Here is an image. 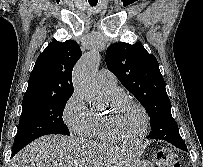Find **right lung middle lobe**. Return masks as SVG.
<instances>
[{"label":"right lung middle lobe","mask_w":203,"mask_h":167,"mask_svg":"<svg viewBox=\"0 0 203 167\" xmlns=\"http://www.w3.org/2000/svg\"><path fill=\"white\" fill-rule=\"evenodd\" d=\"M70 97H49L23 101L12 155L41 136L48 134L70 135L62 118L65 104Z\"/></svg>","instance_id":"right-lung-middle-lobe-1"}]
</instances>
